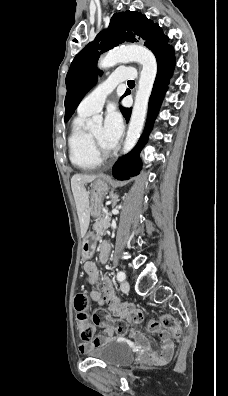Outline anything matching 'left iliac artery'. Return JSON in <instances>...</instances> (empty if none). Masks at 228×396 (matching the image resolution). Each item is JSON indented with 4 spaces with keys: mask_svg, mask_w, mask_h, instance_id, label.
<instances>
[{
    "mask_svg": "<svg viewBox=\"0 0 228 396\" xmlns=\"http://www.w3.org/2000/svg\"><path fill=\"white\" fill-rule=\"evenodd\" d=\"M125 278H126V276H125V273L123 271H119L117 273V280L119 282H122L123 280H125Z\"/></svg>",
    "mask_w": 228,
    "mask_h": 396,
    "instance_id": "obj_1",
    "label": "left iliac artery"
}]
</instances>
